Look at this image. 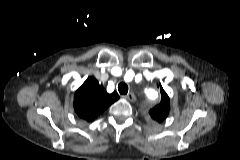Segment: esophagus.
Listing matches in <instances>:
<instances>
[{
  "label": "esophagus",
  "mask_w": 240,
  "mask_h": 160,
  "mask_svg": "<svg viewBox=\"0 0 240 160\" xmlns=\"http://www.w3.org/2000/svg\"><path fill=\"white\" fill-rule=\"evenodd\" d=\"M125 98L130 101V102H134L136 100V97L133 93H128Z\"/></svg>",
  "instance_id": "esophagus-1"
}]
</instances>
